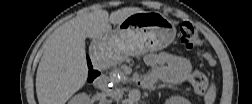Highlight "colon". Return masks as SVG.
Listing matches in <instances>:
<instances>
[{
    "label": "colon",
    "instance_id": "1",
    "mask_svg": "<svg viewBox=\"0 0 252 104\" xmlns=\"http://www.w3.org/2000/svg\"><path fill=\"white\" fill-rule=\"evenodd\" d=\"M180 41L183 46L190 52L195 51L202 45V41L198 35L197 30L189 23H182L180 26ZM201 58L208 64H213L214 59L209 55H201ZM100 76V72L93 66L89 65L87 80L88 82L96 81ZM189 82L195 92L199 95H204L209 87L207 77L199 72L194 71L190 77Z\"/></svg>",
    "mask_w": 252,
    "mask_h": 104
}]
</instances>
